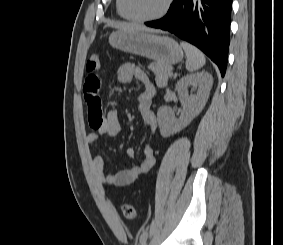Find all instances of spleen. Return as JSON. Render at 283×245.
Instances as JSON below:
<instances>
[{
  "label": "spleen",
  "mask_w": 283,
  "mask_h": 245,
  "mask_svg": "<svg viewBox=\"0 0 283 245\" xmlns=\"http://www.w3.org/2000/svg\"><path fill=\"white\" fill-rule=\"evenodd\" d=\"M187 60H186V69L190 72L196 71L204 66L206 59L204 54L195 46L187 42H181Z\"/></svg>",
  "instance_id": "3e777b00"
}]
</instances>
